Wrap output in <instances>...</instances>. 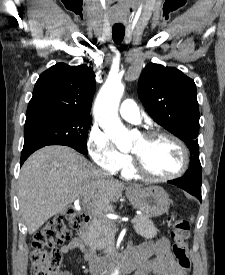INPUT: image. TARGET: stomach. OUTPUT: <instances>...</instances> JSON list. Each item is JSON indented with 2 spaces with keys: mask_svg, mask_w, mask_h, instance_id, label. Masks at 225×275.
I'll return each mask as SVG.
<instances>
[{
  "mask_svg": "<svg viewBox=\"0 0 225 275\" xmlns=\"http://www.w3.org/2000/svg\"><path fill=\"white\" fill-rule=\"evenodd\" d=\"M126 193L131 204L147 218L161 216L169 210L171 202L169 196L159 186L130 188Z\"/></svg>",
  "mask_w": 225,
  "mask_h": 275,
  "instance_id": "stomach-1",
  "label": "stomach"
}]
</instances>
